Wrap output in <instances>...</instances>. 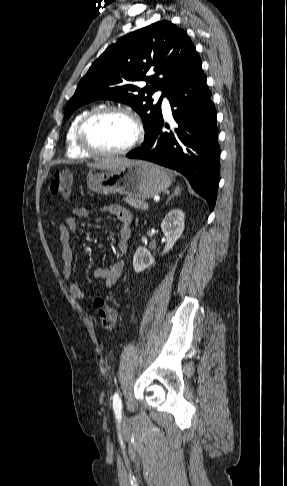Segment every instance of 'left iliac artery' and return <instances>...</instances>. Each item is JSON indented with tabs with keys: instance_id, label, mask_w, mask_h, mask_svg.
I'll return each mask as SVG.
<instances>
[{
	"instance_id": "obj_1",
	"label": "left iliac artery",
	"mask_w": 287,
	"mask_h": 486,
	"mask_svg": "<svg viewBox=\"0 0 287 486\" xmlns=\"http://www.w3.org/2000/svg\"><path fill=\"white\" fill-rule=\"evenodd\" d=\"M113 409H114L115 415L117 417H120L121 412H122V402H121L120 396L117 392L113 396Z\"/></svg>"
}]
</instances>
